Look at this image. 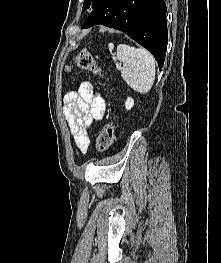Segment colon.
Returning a JSON list of instances; mask_svg holds the SVG:
<instances>
[{
  "instance_id": "1",
  "label": "colon",
  "mask_w": 221,
  "mask_h": 263,
  "mask_svg": "<svg viewBox=\"0 0 221 263\" xmlns=\"http://www.w3.org/2000/svg\"><path fill=\"white\" fill-rule=\"evenodd\" d=\"M76 65L84 70H88L96 75L101 74V69L96 62L94 55L87 49L79 51L75 57ZM115 140V125L112 122L105 124L97 138L96 147L98 151L107 150Z\"/></svg>"
}]
</instances>
